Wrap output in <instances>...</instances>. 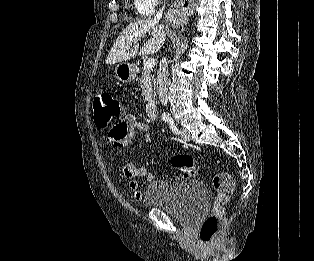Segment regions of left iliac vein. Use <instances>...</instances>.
<instances>
[{
    "label": "left iliac vein",
    "instance_id": "4c4485c4",
    "mask_svg": "<svg viewBox=\"0 0 314 261\" xmlns=\"http://www.w3.org/2000/svg\"><path fill=\"white\" fill-rule=\"evenodd\" d=\"M180 136L183 140L185 141H190L191 140V136H190V133L187 129L185 128H181L180 129Z\"/></svg>",
    "mask_w": 314,
    "mask_h": 261
}]
</instances>
